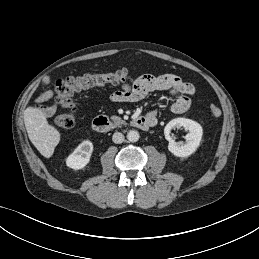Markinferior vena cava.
<instances>
[{
    "mask_svg": "<svg viewBox=\"0 0 259 259\" xmlns=\"http://www.w3.org/2000/svg\"><path fill=\"white\" fill-rule=\"evenodd\" d=\"M112 140L116 144H120L124 141V135L120 132H115L112 136Z\"/></svg>",
    "mask_w": 259,
    "mask_h": 259,
    "instance_id": "obj_1",
    "label": "inferior vena cava"
}]
</instances>
